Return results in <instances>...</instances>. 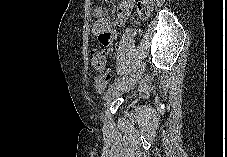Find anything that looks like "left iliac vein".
<instances>
[{
	"mask_svg": "<svg viewBox=\"0 0 227 157\" xmlns=\"http://www.w3.org/2000/svg\"><path fill=\"white\" fill-rule=\"evenodd\" d=\"M143 71H144V62H141L139 63L137 68L134 70V72L126 81H123L120 84H117L113 88L109 89L104 96L105 105H107L115 97L130 90L135 85V83L139 80Z\"/></svg>",
	"mask_w": 227,
	"mask_h": 157,
	"instance_id": "obj_1",
	"label": "left iliac vein"
}]
</instances>
